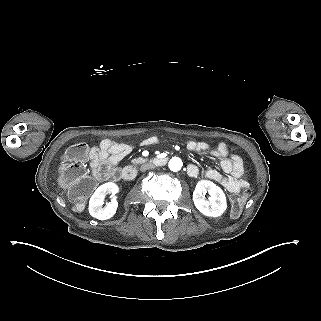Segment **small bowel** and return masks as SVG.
<instances>
[{
  "mask_svg": "<svg viewBox=\"0 0 321 321\" xmlns=\"http://www.w3.org/2000/svg\"><path fill=\"white\" fill-rule=\"evenodd\" d=\"M159 139L156 136H150L142 141L144 146L157 144ZM132 148L125 143H117L111 139H103L99 146H95L89 153L90 166L94 176L103 180L105 178L116 177L117 170L115 166L130 152ZM187 150L190 152H208L220 161V168L223 173L216 169L209 168L204 171V176L218 182L224 188L232 193L239 192L248 183L245 179V170L243 161L236 154H229L228 148L224 142H219L214 148H211L205 142L189 141ZM188 173L192 177L199 174V168L195 164L188 166Z\"/></svg>",
  "mask_w": 321,
  "mask_h": 321,
  "instance_id": "1",
  "label": "small bowel"
}]
</instances>
